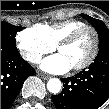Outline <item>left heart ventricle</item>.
<instances>
[{
	"instance_id": "b2bd125f",
	"label": "left heart ventricle",
	"mask_w": 109,
	"mask_h": 109,
	"mask_svg": "<svg viewBox=\"0 0 109 109\" xmlns=\"http://www.w3.org/2000/svg\"><path fill=\"white\" fill-rule=\"evenodd\" d=\"M94 45V34L92 31H84L71 45L60 50L71 67L84 62L91 54Z\"/></svg>"
}]
</instances>
